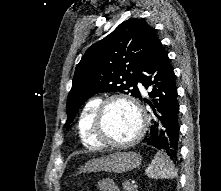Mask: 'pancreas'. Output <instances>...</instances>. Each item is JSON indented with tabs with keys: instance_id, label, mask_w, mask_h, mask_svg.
<instances>
[{
	"instance_id": "1",
	"label": "pancreas",
	"mask_w": 221,
	"mask_h": 191,
	"mask_svg": "<svg viewBox=\"0 0 221 191\" xmlns=\"http://www.w3.org/2000/svg\"><path fill=\"white\" fill-rule=\"evenodd\" d=\"M122 185L126 191H137L136 188L126 180L122 183Z\"/></svg>"
}]
</instances>
